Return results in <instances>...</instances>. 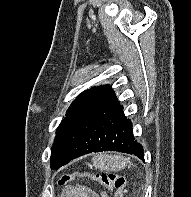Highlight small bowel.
Here are the masks:
<instances>
[{"label":"small bowel","mask_w":191,"mask_h":197,"mask_svg":"<svg viewBox=\"0 0 191 197\" xmlns=\"http://www.w3.org/2000/svg\"><path fill=\"white\" fill-rule=\"evenodd\" d=\"M61 197H100L96 192L84 186H66Z\"/></svg>","instance_id":"obj_1"}]
</instances>
